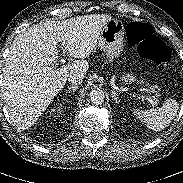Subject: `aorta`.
I'll return each instance as SVG.
<instances>
[{
  "label": "aorta",
  "instance_id": "obj_1",
  "mask_svg": "<svg viewBox=\"0 0 183 183\" xmlns=\"http://www.w3.org/2000/svg\"><path fill=\"white\" fill-rule=\"evenodd\" d=\"M105 94L101 89H95L90 92V100L93 104L99 105L104 102Z\"/></svg>",
  "mask_w": 183,
  "mask_h": 183
}]
</instances>
